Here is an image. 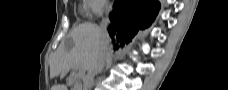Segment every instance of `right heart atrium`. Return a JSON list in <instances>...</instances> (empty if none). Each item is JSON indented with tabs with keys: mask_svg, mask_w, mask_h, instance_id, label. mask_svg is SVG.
<instances>
[{
	"mask_svg": "<svg viewBox=\"0 0 228 90\" xmlns=\"http://www.w3.org/2000/svg\"><path fill=\"white\" fill-rule=\"evenodd\" d=\"M84 3L86 5L85 15L88 17L99 16L110 6L107 0H85Z\"/></svg>",
	"mask_w": 228,
	"mask_h": 90,
	"instance_id": "d8ad5b80",
	"label": "right heart atrium"
}]
</instances>
